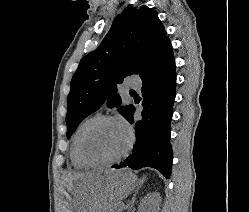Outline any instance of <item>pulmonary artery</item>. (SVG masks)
<instances>
[{
  "label": "pulmonary artery",
  "mask_w": 249,
  "mask_h": 212,
  "mask_svg": "<svg viewBox=\"0 0 249 212\" xmlns=\"http://www.w3.org/2000/svg\"><path fill=\"white\" fill-rule=\"evenodd\" d=\"M125 85H126V87H128V88H138V86H135V85H133V84H131V83H125Z\"/></svg>",
  "instance_id": "pulmonary-artery-1"
}]
</instances>
